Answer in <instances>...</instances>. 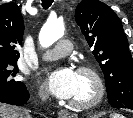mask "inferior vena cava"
I'll return each mask as SVG.
<instances>
[{
    "instance_id": "602c4592",
    "label": "inferior vena cava",
    "mask_w": 133,
    "mask_h": 118,
    "mask_svg": "<svg viewBox=\"0 0 133 118\" xmlns=\"http://www.w3.org/2000/svg\"><path fill=\"white\" fill-rule=\"evenodd\" d=\"M40 97L42 98V100H46L48 97V93L46 91H41L39 93Z\"/></svg>"
}]
</instances>
